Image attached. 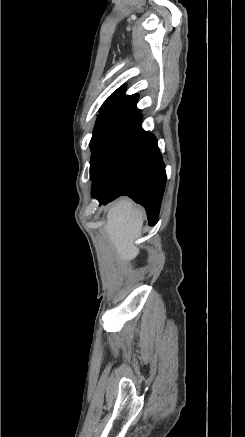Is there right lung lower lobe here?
<instances>
[{
	"label": "right lung lower lobe",
	"mask_w": 245,
	"mask_h": 437,
	"mask_svg": "<svg viewBox=\"0 0 245 437\" xmlns=\"http://www.w3.org/2000/svg\"><path fill=\"white\" fill-rule=\"evenodd\" d=\"M91 180L99 205L127 195L146 209L149 225L157 223L165 166L155 136L141 122L118 141Z\"/></svg>",
	"instance_id": "obj_1"
}]
</instances>
